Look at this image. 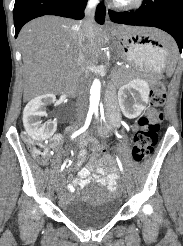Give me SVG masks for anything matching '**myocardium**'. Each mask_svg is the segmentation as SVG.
<instances>
[{"label": "myocardium", "mask_w": 183, "mask_h": 246, "mask_svg": "<svg viewBox=\"0 0 183 246\" xmlns=\"http://www.w3.org/2000/svg\"><path fill=\"white\" fill-rule=\"evenodd\" d=\"M143 0H114V7L127 11L139 7L142 4Z\"/></svg>", "instance_id": "1"}]
</instances>
